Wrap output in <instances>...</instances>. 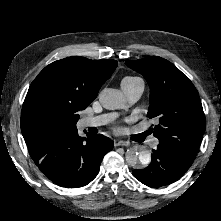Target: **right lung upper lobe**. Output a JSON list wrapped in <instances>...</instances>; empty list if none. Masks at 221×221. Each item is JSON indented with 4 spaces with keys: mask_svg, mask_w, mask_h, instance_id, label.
<instances>
[{
    "mask_svg": "<svg viewBox=\"0 0 221 221\" xmlns=\"http://www.w3.org/2000/svg\"><path fill=\"white\" fill-rule=\"evenodd\" d=\"M117 65L116 60L74 56L46 66L31 83L23 103L21 131L26 144L70 132L64 112L85 109Z\"/></svg>",
    "mask_w": 221,
    "mask_h": 221,
    "instance_id": "right-lung-upper-lobe-1",
    "label": "right lung upper lobe"
}]
</instances>
